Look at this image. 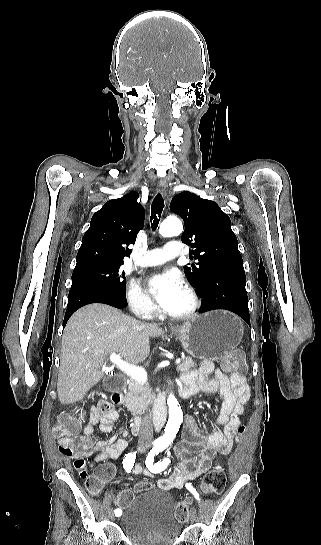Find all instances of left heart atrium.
Instances as JSON below:
<instances>
[{"label":"left heart atrium","mask_w":321,"mask_h":545,"mask_svg":"<svg viewBox=\"0 0 321 545\" xmlns=\"http://www.w3.org/2000/svg\"><path fill=\"white\" fill-rule=\"evenodd\" d=\"M182 278L176 271H166L150 277L148 285L154 292L160 310L168 312L182 289Z\"/></svg>","instance_id":"obj_1"}]
</instances>
